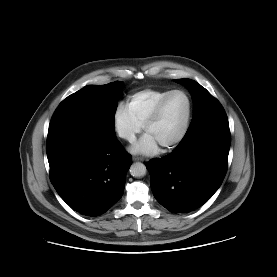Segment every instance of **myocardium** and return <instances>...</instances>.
<instances>
[{
    "label": "myocardium",
    "instance_id": "myocardium-1",
    "mask_svg": "<svg viewBox=\"0 0 277 277\" xmlns=\"http://www.w3.org/2000/svg\"><path fill=\"white\" fill-rule=\"evenodd\" d=\"M183 94L188 102V112H187V117H186V121L185 124L183 126V129L181 130V132L178 134L177 137H175L172 141L162 145V148L164 150H169L172 149L174 147H176L178 144H180L184 138L186 137L189 129H190V125H191V121H192V116H193V101L192 98L190 96V94L183 90V89H174L171 90L169 93H167L156 105L155 109L153 110L152 114L149 116V118L146 120L145 124H144V130L147 132L148 128L153 125L161 116L162 111L164 109L165 104L167 103V101L174 95V94Z\"/></svg>",
    "mask_w": 277,
    "mask_h": 277
}]
</instances>
